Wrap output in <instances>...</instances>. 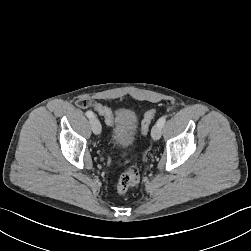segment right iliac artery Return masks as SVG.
Segmentation results:
<instances>
[{"mask_svg":"<svg viewBox=\"0 0 251 251\" xmlns=\"http://www.w3.org/2000/svg\"><path fill=\"white\" fill-rule=\"evenodd\" d=\"M86 116H87L89 119L94 118V114H93L92 111H87V112H86Z\"/></svg>","mask_w":251,"mask_h":251,"instance_id":"82829eb1","label":"right iliac artery"}]
</instances>
